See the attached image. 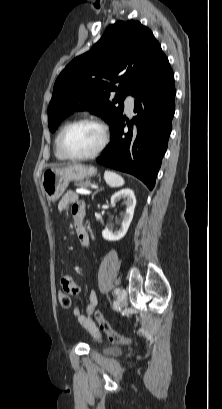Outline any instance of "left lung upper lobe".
Segmentation results:
<instances>
[{"label": "left lung upper lobe", "mask_w": 222, "mask_h": 409, "mask_svg": "<svg viewBox=\"0 0 222 409\" xmlns=\"http://www.w3.org/2000/svg\"><path fill=\"white\" fill-rule=\"evenodd\" d=\"M169 69L167 57L147 27L138 21H118L58 76L48 107L49 129L54 131L78 110L95 112L111 127L122 115L125 97L136 96ZM112 91L118 93L114 99Z\"/></svg>", "instance_id": "5c2ea615"}]
</instances>
